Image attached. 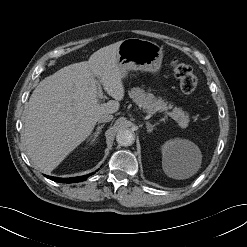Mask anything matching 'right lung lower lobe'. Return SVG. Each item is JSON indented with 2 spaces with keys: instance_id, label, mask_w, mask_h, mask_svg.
Wrapping results in <instances>:
<instances>
[{
  "instance_id": "1",
  "label": "right lung lower lobe",
  "mask_w": 247,
  "mask_h": 247,
  "mask_svg": "<svg viewBox=\"0 0 247 247\" xmlns=\"http://www.w3.org/2000/svg\"><path fill=\"white\" fill-rule=\"evenodd\" d=\"M94 174V173H92ZM92 174H88L86 176H79V177H72V178H56V177H50V176H46L47 178L55 181V182H61V183H74V182H81L84 181L86 178H88L90 175Z\"/></svg>"
}]
</instances>
